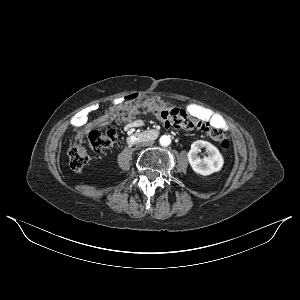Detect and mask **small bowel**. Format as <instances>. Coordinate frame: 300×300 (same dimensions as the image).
I'll list each match as a JSON object with an SVG mask.
<instances>
[{
	"instance_id": "obj_1",
	"label": "small bowel",
	"mask_w": 300,
	"mask_h": 300,
	"mask_svg": "<svg viewBox=\"0 0 300 300\" xmlns=\"http://www.w3.org/2000/svg\"><path fill=\"white\" fill-rule=\"evenodd\" d=\"M186 108H187V111L191 115L206 119V120L210 121L212 124L219 126L222 129H227V124L220 115L213 113L212 111H210L202 106H199L197 104H189V105H187ZM91 111H92L91 109H86V110L80 111L73 118V124L77 127H83L87 124H89L91 126L102 125L106 122V117H100V118L88 123V119H89V115H90ZM141 126H143V121L139 120V119L132 120L128 124V127H130V128H137V127H141Z\"/></svg>"
}]
</instances>
